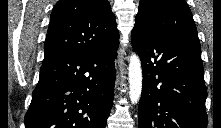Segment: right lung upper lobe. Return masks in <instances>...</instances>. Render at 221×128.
<instances>
[{
  "mask_svg": "<svg viewBox=\"0 0 221 128\" xmlns=\"http://www.w3.org/2000/svg\"><path fill=\"white\" fill-rule=\"evenodd\" d=\"M118 39L108 0H59L51 14L43 63L66 54L96 51Z\"/></svg>",
  "mask_w": 221,
  "mask_h": 128,
  "instance_id": "right-lung-upper-lobe-1",
  "label": "right lung upper lobe"
}]
</instances>
